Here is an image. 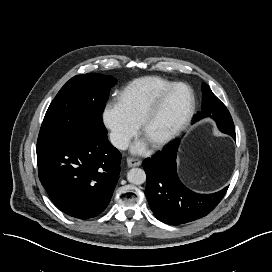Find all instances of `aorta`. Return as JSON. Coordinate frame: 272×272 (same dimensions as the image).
Returning a JSON list of instances; mask_svg holds the SVG:
<instances>
[{"label":"aorta","instance_id":"1","mask_svg":"<svg viewBox=\"0 0 272 272\" xmlns=\"http://www.w3.org/2000/svg\"><path fill=\"white\" fill-rule=\"evenodd\" d=\"M127 180L134 185H141L146 181L145 171L141 168H132L127 173Z\"/></svg>","mask_w":272,"mask_h":272}]
</instances>
